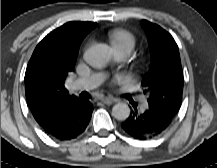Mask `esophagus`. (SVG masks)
Here are the masks:
<instances>
[{"instance_id":"esophagus-1","label":"esophagus","mask_w":217,"mask_h":168,"mask_svg":"<svg viewBox=\"0 0 217 168\" xmlns=\"http://www.w3.org/2000/svg\"><path fill=\"white\" fill-rule=\"evenodd\" d=\"M100 100L105 103V104H112L114 102V98L111 96H104L102 98H100Z\"/></svg>"}]
</instances>
